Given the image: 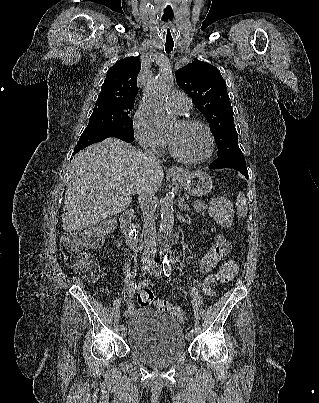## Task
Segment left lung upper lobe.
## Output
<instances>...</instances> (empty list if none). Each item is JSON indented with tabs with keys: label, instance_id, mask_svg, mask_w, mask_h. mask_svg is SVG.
<instances>
[{
	"label": "left lung upper lobe",
	"instance_id": "5c2ea615",
	"mask_svg": "<svg viewBox=\"0 0 319 403\" xmlns=\"http://www.w3.org/2000/svg\"><path fill=\"white\" fill-rule=\"evenodd\" d=\"M176 82L192 97L193 104L210 124L218 158L242 155L226 82L220 71L209 63L195 60L176 71Z\"/></svg>",
	"mask_w": 319,
	"mask_h": 403
}]
</instances>
